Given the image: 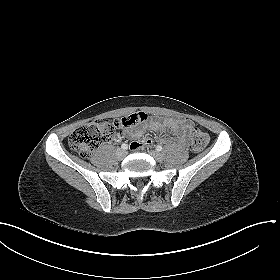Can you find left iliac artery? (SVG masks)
Listing matches in <instances>:
<instances>
[{
	"mask_svg": "<svg viewBox=\"0 0 280 280\" xmlns=\"http://www.w3.org/2000/svg\"><path fill=\"white\" fill-rule=\"evenodd\" d=\"M162 149H163V148H162V146H160V145H158V146L156 147V150H157V151H162Z\"/></svg>",
	"mask_w": 280,
	"mask_h": 280,
	"instance_id": "44dca946",
	"label": "left iliac artery"
}]
</instances>
